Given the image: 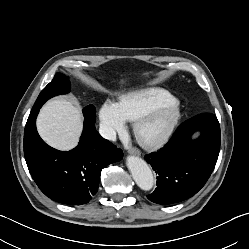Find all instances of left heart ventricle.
Listing matches in <instances>:
<instances>
[{"label": "left heart ventricle", "instance_id": "left-heart-ventricle-1", "mask_svg": "<svg viewBox=\"0 0 249 249\" xmlns=\"http://www.w3.org/2000/svg\"><path fill=\"white\" fill-rule=\"evenodd\" d=\"M166 117L164 114H159L155 118H153L149 123H147L143 129L142 133L145 136L151 135L157 129H159L165 122Z\"/></svg>", "mask_w": 249, "mask_h": 249}]
</instances>
